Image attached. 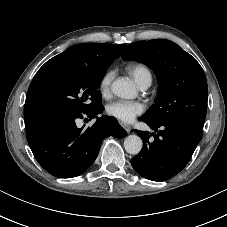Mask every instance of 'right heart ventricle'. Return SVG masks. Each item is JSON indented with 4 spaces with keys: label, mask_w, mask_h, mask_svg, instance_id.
<instances>
[{
    "label": "right heart ventricle",
    "mask_w": 227,
    "mask_h": 227,
    "mask_svg": "<svg viewBox=\"0 0 227 227\" xmlns=\"http://www.w3.org/2000/svg\"><path fill=\"white\" fill-rule=\"evenodd\" d=\"M128 73L139 87L145 83L151 84L152 82V73L144 64H134L129 66Z\"/></svg>",
    "instance_id": "right-heart-ventricle-1"
}]
</instances>
